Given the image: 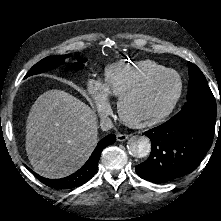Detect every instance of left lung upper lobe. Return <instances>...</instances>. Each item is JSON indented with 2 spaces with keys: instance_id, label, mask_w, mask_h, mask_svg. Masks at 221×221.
I'll list each match as a JSON object with an SVG mask.
<instances>
[{
  "instance_id": "left-lung-upper-lobe-1",
  "label": "left lung upper lobe",
  "mask_w": 221,
  "mask_h": 221,
  "mask_svg": "<svg viewBox=\"0 0 221 221\" xmlns=\"http://www.w3.org/2000/svg\"><path fill=\"white\" fill-rule=\"evenodd\" d=\"M189 67V85H188V94H187V102L188 103L196 100V99H208L215 100L208 84L205 76L201 72V70L195 66L194 64L188 62Z\"/></svg>"
}]
</instances>
